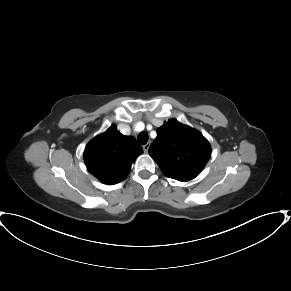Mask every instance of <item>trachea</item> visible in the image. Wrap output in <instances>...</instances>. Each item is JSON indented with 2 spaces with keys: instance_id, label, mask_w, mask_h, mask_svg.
Segmentation results:
<instances>
[{
  "instance_id": "1",
  "label": "trachea",
  "mask_w": 291,
  "mask_h": 291,
  "mask_svg": "<svg viewBox=\"0 0 291 291\" xmlns=\"http://www.w3.org/2000/svg\"><path fill=\"white\" fill-rule=\"evenodd\" d=\"M137 140L140 144L145 145L148 141V133L146 131L139 133Z\"/></svg>"
}]
</instances>
